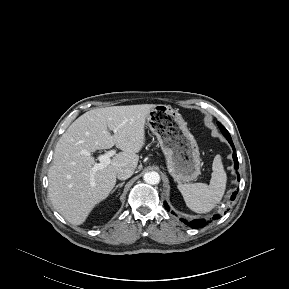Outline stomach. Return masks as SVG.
Listing matches in <instances>:
<instances>
[{"instance_id": "stomach-1", "label": "stomach", "mask_w": 289, "mask_h": 289, "mask_svg": "<svg viewBox=\"0 0 289 289\" xmlns=\"http://www.w3.org/2000/svg\"><path fill=\"white\" fill-rule=\"evenodd\" d=\"M147 126L156 135L174 180L196 179L201 168L199 148L182 115L170 106L155 105L147 116Z\"/></svg>"}]
</instances>
